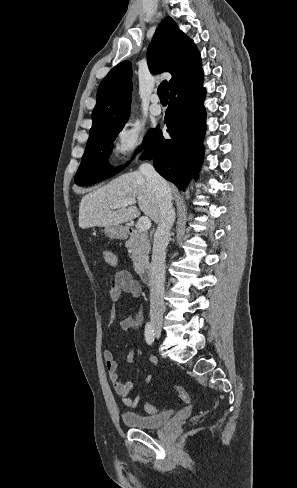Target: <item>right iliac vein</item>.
<instances>
[{"label": "right iliac vein", "instance_id": "right-iliac-vein-1", "mask_svg": "<svg viewBox=\"0 0 297 488\" xmlns=\"http://www.w3.org/2000/svg\"><path fill=\"white\" fill-rule=\"evenodd\" d=\"M151 324L156 336L159 338L161 335L162 322L158 319H153Z\"/></svg>", "mask_w": 297, "mask_h": 488}]
</instances>
